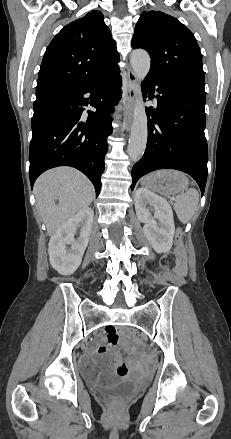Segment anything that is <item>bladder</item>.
I'll return each instance as SVG.
<instances>
[{
    "mask_svg": "<svg viewBox=\"0 0 231 439\" xmlns=\"http://www.w3.org/2000/svg\"><path fill=\"white\" fill-rule=\"evenodd\" d=\"M79 371L83 377H91L97 373L98 367L88 358L82 357L79 362ZM138 386L136 381H122L109 388L96 387L95 390L102 397H109L113 394L126 395L131 393Z\"/></svg>",
    "mask_w": 231,
    "mask_h": 439,
    "instance_id": "1",
    "label": "bladder"
}]
</instances>
